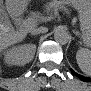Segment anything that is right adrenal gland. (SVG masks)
Wrapping results in <instances>:
<instances>
[{
  "label": "right adrenal gland",
  "mask_w": 91,
  "mask_h": 91,
  "mask_svg": "<svg viewBox=\"0 0 91 91\" xmlns=\"http://www.w3.org/2000/svg\"><path fill=\"white\" fill-rule=\"evenodd\" d=\"M31 35H32V36H35V35H37V34H33V33H31Z\"/></svg>",
  "instance_id": "2a0ac1e0"
}]
</instances>
